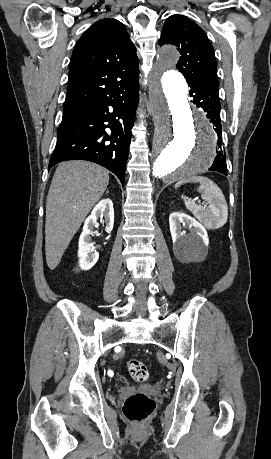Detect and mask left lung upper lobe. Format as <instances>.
Instances as JSON below:
<instances>
[{"label": "left lung upper lobe", "instance_id": "5c2ea615", "mask_svg": "<svg viewBox=\"0 0 271 459\" xmlns=\"http://www.w3.org/2000/svg\"><path fill=\"white\" fill-rule=\"evenodd\" d=\"M159 43L178 47L181 57L176 64L188 83L209 81L219 86L214 49L205 32L183 15H171L165 22Z\"/></svg>", "mask_w": 271, "mask_h": 459}]
</instances>
